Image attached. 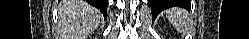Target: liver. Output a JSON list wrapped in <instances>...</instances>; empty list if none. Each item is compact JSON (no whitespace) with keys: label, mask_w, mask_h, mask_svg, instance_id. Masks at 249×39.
Here are the masks:
<instances>
[{"label":"liver","mask_w":249,"mask_h":39,"mask_svg":"<svg viewBox=\"0 0 249 39\" xmlns=\"http://www.w3.org/2000/svg\"><path fill=\"white\" fill-rule=\"evenodd\" d=\"M74 8L77 18V32L82 35L92 32L100 22V12L82 0H76Z\"/></svg>","instance_id":"1"}]
</instances>
